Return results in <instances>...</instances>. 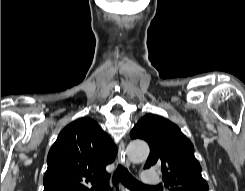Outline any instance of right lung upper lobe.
<instances>
[{
  "label": "right lung upper lobe",
  "instance_id": "obj_1",
  "mask_svg": "<svg viewBox=\"0 0 245 191\" xmlns=\"http://www.w3.org/2000/svg\"><path fill=\"white\" fill-rule=\"evenodd\" d=\"M116 154L114 142L93 119L70 123L49 150L44 191H101L110 178L105 167Z\"/></svg>",
  "mask_w": 245,
  "mask_h": 191
}]
</instances>
